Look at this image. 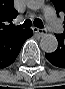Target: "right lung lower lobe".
<instances>
[{
    "label": "right lung lower lobe",
    "mask_w": 65,
    "mask_h": 89,
    "mask_svg": "<svg viewBox=\"0 0 65 89\" xmlns=\"http://www.w3.org/2000/svg\"><path fill=\"white\" fill-rule=\"evenodd\" d=\"M32 35L31 29H22L0 37V68H5L14 62L23 43Z\"/></svg>",
    "instance_id": "1"
}]
</instances>
